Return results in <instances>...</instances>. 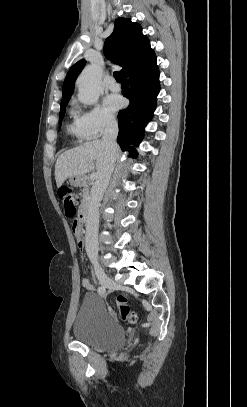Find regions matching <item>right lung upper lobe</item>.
Returning <instances> with one entry per match:
<instances>
[{
    "label": "right lung upper lobe",
    "mask_w": 247,
    "mask_h": 407,
    "mask_svg": "<svg viewBox=\"0 0 247 407\" xmlns=\"http://www.w3.org/2000/svg\"><path fill=\"white\" fill-rule=\"evenodd\" d=\"M104 50L108 59L123 67L120 71L122 75L155 55L149 39L142 34L141 26L122 17L115 21L113 33L104 43ZM85 64L86 61L82 59L70 68L63 83L61 103L69 101L74 82Z\"/></svg>",
    "instance_id": "cb5924a9"
}]
</instances>
